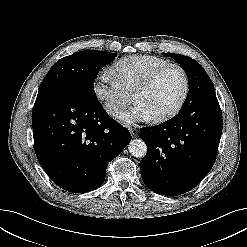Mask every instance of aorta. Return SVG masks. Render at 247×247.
Segmentation results:
<instances>
[{
	"mask_svg": "<svg viewBox=\"0 0 247 247\" xmlns=\"http://www.w3.org/2000/svg\"><path fill=\"white\" fill-rule=\"evenodd\" d=\"M129 152L136 158H143L147 153V146L141 139H134L128 145Z\"/></svg>",
	"mask_w": 247,
	"mask_h": 247,
	"instance_id": "obj_1",
	"label": "aorta"
}]
</instances>
